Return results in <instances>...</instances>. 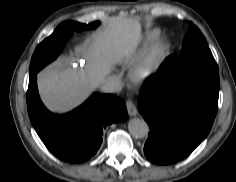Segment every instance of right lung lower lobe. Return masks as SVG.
<instances>
[{"label":"right lung lower lobe","mask_w":236,"mask_h":182,"mask_svg":"<svg viewBox=\"0 0 236 182\" xmlns=\"http://www.w3.org/2000/svg\"><path fill=\"white\" fill-rule=\"evenodd\" d=\"M37 72L30 73L27 110L45 146L59 159L85 162L96 154L107 125L127 119L125 102L111 94L94 93L80 107L64 115L49 112L37 89Z\"/></svg>","instance_id":"1"}]
</instances>
